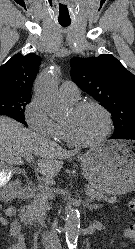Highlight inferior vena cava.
Masks as SVG:
<instances>
[{"mask_svg": "<svg viewBox=\"0 0 135 249\" xmlns=\"http://www.w3.org/2000/svg\"><path fill=\"white\" fill-rule=\"evenodd\" d=\"M48 249H61V244L60 241L54 231V226L52 228V231L49 235V239H48Z\"/></svg>", "mask_w": 135, "mask_h": 249, "instance_id": "1", "label": "inferior vena cava"}]
</instances>
